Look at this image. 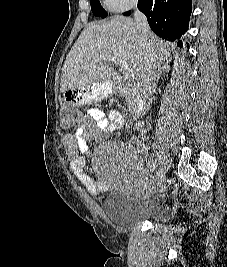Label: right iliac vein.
I'll return each mask as SVG.
<instances>
[{
	"label": "right iliac vein",
	"instance_id": "63e3f726",
	"mask_svg": "<svg viewBox=\"0 0 227 267\" xmlns=\"http://www.w3.org/2000/svg\"><path fill=\"white\" fill-rule=\"evenodd\" d=\"M166 179V170L162 169L160 175L157 177L156 186L161 187Z\"/></svg>",
	"mask_w": 227,
	"mask_h": 267
}]
</instances>
